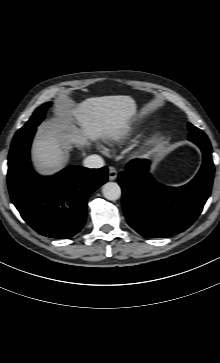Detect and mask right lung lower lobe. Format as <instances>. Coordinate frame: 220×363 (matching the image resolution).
I'll return each instance as SVG.
<instances>
[{"instance_id": "1", "label": "right lung lower lobe", "mask_w": 220, "mask_h": 363, "mask_svg": "<svg viewBox=\"0 0 220 363\" xmlns=\"http://www.w3.org/2000/svg\"><path fill=\"white\" fill-rule=\"evenodd\" d=\"M36 128L13 139L8 157V187L22 218L50 238H70L85 223L87 201L108 178V169L69 166L52 177L31 167L29 150Z\"/></svg>"}]
</instances>
